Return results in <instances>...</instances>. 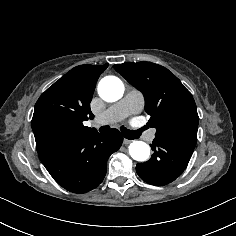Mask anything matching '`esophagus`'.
I'll use <instances>...</instances> for the list:
<instances>
[{"instance_id":"1","label":"esophagus","mask_w":236,"mask_h":236,"mask_svg":"<svg viewBox=\"0 0 236 236\" xmlns=\"http://www.w3.org/2000/svg\"><path fill=\"white\" fill-rule=\"evenodd\" d=\"M131 142V140L129 139H124V144H129Z\"/></svg>"}]
</instances>
